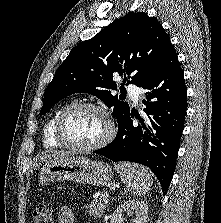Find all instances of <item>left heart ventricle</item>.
<instances>
[{
  "mask_svg": "<svg viewBox=\"0 0 221 223\" xmlns=\"http://www.w3.org/2000/svg\"><path fill=\"white\" fill-rule=\"evenodd\" d=\"M108 131L105 117L91 109L73 112L65 121L64 135L77 145H92L101 140Z\"/></svg>",
  "mask_w": 221,
  "mask_h": 223,
  "instance_id": "left-heart-ventricle-1",
  "label": "left heart ventricle"
}]
</instances>
